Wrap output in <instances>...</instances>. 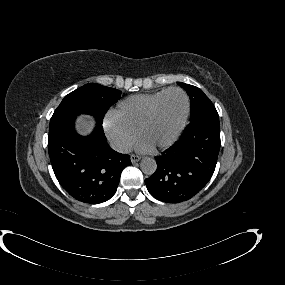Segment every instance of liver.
I'll use <instances>...</instances> for the list:
<instances>
[{"instance_id": "liver-1", "label": "liver", "mask_w": 285, "mask_h": 285, "mask_svg": "<svg viewBox=\"0 0 285 285\" xmlns=\"http://www.w3.org/2000/svg\"><path fill=\"white\" fill-rule=\"evenodd\" d=\"M91 121H89L86 117L81 116L78 118L77 130L81 134H88L91 131Z\"/></svg>"}]
</instances>
